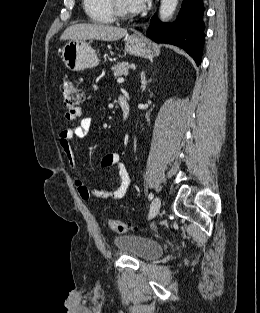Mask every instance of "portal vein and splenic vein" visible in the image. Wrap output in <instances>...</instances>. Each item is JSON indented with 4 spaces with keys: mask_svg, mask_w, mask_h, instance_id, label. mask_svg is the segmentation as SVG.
<instances>
[{
    "mask_svg": "<svg viewBox=\"0 0 260 313\" xmlns=\"http://www.w3.org/2000/svg\"><path fill=\"white\" fill-rule=\"evenodd\" d=\"M117 82H118V83H123V82H124V78H118V79H117Z\"/></svg>",
    "mask_w": 260,
    "mask_h": 313,
    "instance_id": "1",
    "label": "portal vein and splenic vein"
}]
</instances>
